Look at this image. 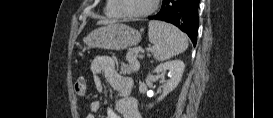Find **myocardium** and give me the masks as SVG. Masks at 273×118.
<instances>
[{
  "label": "myocardium",
  "instance_id": "myocardium-1",
  "mask_svg": "<svg viewBox=\"0 0 273 118\" xmlns=\"http://www.w3.org/2000/svg\"><path fill=\"white\" fill-rule=\"evenodd\" d=\"M115 1H116V5H117L118 9L120 10V12L122 13V15L124 17L130 18V19L144 18V17L151 15L156 10L158 2H159V0H153L152 5L150 6L149 9H147L143 12H139V13H130L125 9L123 0H115Z\"/></svg>",
  "mask_w": 273,
  "mask_h": 118
}]
</instances>
